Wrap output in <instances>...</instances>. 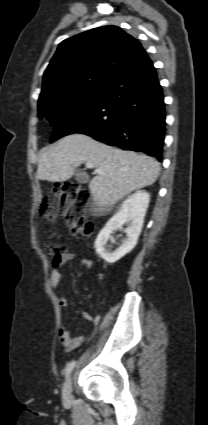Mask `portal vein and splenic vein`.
Instances as JSON below:
<instances>
[{"label": "portal vein and splenic vein", "mask_w": 208, "mask_h": 425, "mask_svg": "<svg viewBox=\"0 0 208 425\" xmlns=\"http://www.w3.org/2000/svg\"><path fill=\"white\" fill-rule=\"evenodd\" d=\"M85 166L87 167V168H94V165L91 163V162H87L86 164H85ZM95 172H97V173H99V174H102L103 173V171L102 170H100V169H96L95 170Z\"/></svg>", "instance_id": "portal-vein-and-splenic-vein-1"}]
</instances>
